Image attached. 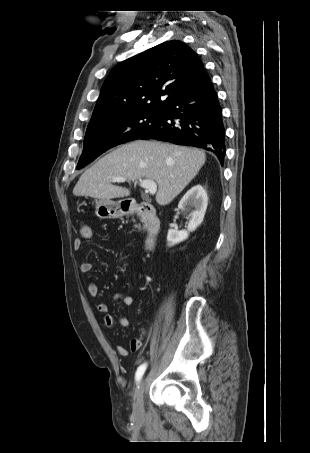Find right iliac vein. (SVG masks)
<instances>
[{
  "label": "right iliac vein",
  "instance_id": "right-iliac-vein-1",
  "mask_svg": "<svg viewBox=\"0 0 310 453\" xmlns=\"http://www.w3.org/2000/svg\"><path fill=\"white\" fill-rule=\"evenodd\" d=\"M145 380L142 379L137 387L134 396L133 412L135 416L140 417L144 412L143 407V394H144Z\"/></svg>",
  "mask_w": 310,
  "mask_h": 453
}]
</instances>
